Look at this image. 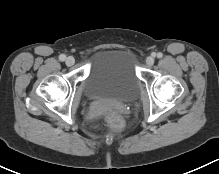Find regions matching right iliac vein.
Returning <instances> with one entry per match:
<instances>
[{
  "instance_id": "obj_1",
  "label": "right iliac vein",
  "mask_w": 219,
  "mask_h": 174,
  "mask_svg": "<svg viewBox=\"0 0 219 174\" xmlns=\"http://www.w3.org/2000/svg\"><path fill=\"white\" fill-rule=\"evenodd\" d=\"M65 62L67 66H72L75 63V59L72 56H69L66 58Z\"/></svg>"
}]
</instances>
